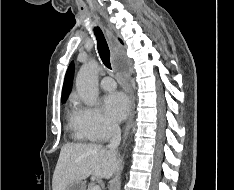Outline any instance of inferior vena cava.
<instances>
[{"mask_svg":"<svg viewBox=\"0 0 234 190\" xmlns=\"http://www.w3.org/2000/svg\"><path fill=\"white\" fill-rule=\"evenodd\" d=\"M121 141V130L117 123H111V140L107 146L108 150L112 153H117V148Z\"/></svg>","mask_w":234,"mask_h":190,"instance_id":"602c4592","label":"inferior vena cava"}]
</instances>
